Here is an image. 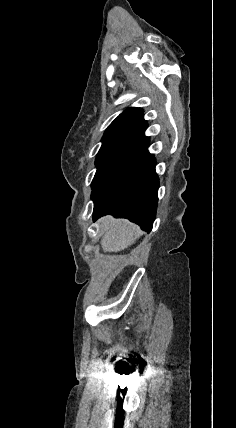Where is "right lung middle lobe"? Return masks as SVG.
<instances>
[{
    "mask_svg": "<svg viewBox=\"0 0 236 428\" xmlns=\"http://www.w3.org/2000/svg\"><path fill=\"white\" fill-rule=\"evenodd\" d=\"M145 148L146 144L143 143L98 152L95 162L97 171L91 184L94 203L122 179Z\"/></svg>",
    "mask_w": 236,
    "mask_h": 428,
    "instance_id": "1",
    "label": "right lung middle lobe"
}]
</instances>
